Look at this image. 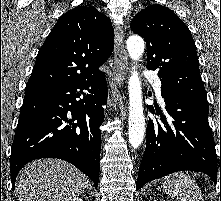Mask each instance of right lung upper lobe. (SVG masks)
I'll use <instances>...</instances> for the list:
<instances>
[{
  "label": "right lung upper lobe",
  "mask_w": 221,
  "mask_h": 201,
  "mask_svg": "<svg viewBox=\"0 0 221 201\" xmlns=\"http://www.w3.org/2000/svg\"><path fill=\"white\" fill-rule=\"evenodd\" d=\"M114 46L111 21L93 6L63 14L38 52L27 86H55L101 76Z\"/></svg>",
  "instance_id": "obj_1"
}]
</instances>
